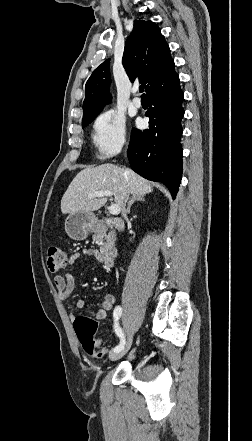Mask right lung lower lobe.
<instances>
[{"label":"right lung lower lobe","instance_id":"right-lung-lower-lobe-1","mask_svg":"<svg viewBox=\"0 0 252 441\" xmlns=\"http://www.w3.org/2000/svg\"><path fill=\"white\" fill-rule=\"evenodd\" d=\"M174 61L147 91L149 129H133L127 156L142 177L161 182L175 198L182 178L181 119L184 115L179 76Z\"/></svg>","mask_w":252,"mask_h":441}]
</instances>
